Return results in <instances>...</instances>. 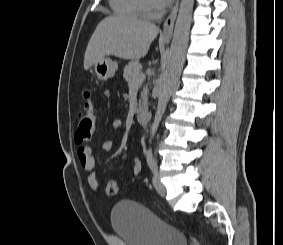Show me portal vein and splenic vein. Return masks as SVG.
<instances>
[{
	"label": "portal vein and splenic vein",
	"mask_w": 283,
	"mask_h": 245,
	"mask_svg": "<svg viewBox=\"0 0 283 245\" xmlns=\"http://www.w3.org/2000/svg\"><path fill=\"white\" fill-rule=\"evenodd\" d=\"M144 80H145V75L142 74L137 78L136 84H139V83L143 82Z\"/></svg>",
	"instance_id": "obj_1"
}]
</instances>
